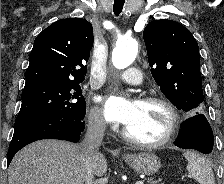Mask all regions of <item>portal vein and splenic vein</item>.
Wrapping results in <instances>:
<instances>
[{"mask_svg":"<svg viewBox=\"0 0 224 184\" xmlns=\"http://www.w3.org/2000/svg\"><path fill=\"white\" fill-rule=\"evenodd\" d=\"M135 184H144L143 181H137Z\"/></svg>","mask_w":224,"mask_h":184,"instance_id":"1","label":"portal vein and splenic vein"}]
</instances>
